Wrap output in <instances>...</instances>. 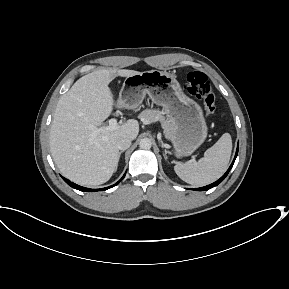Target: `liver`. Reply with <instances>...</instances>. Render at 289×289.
Here are the masks:
<instances>
[{
  "label": "liver",
  "mask_w": 289,
  "mask_h": 289,
  "mask_svg": "<svg viewBox=\"0 0 289 289\" xmlns=\"http://www.w3.org/2000/svg\"><path fill=\"white\" fill-rule=\"evenodd\" d=\"M140 72L127 69H100L78 79L61 96L50 129V149L60 172L71 181L88 186L107 182L117 169L116 142L126 136L134 140L139 123L128 120L114 130L94 135L113 111L114 97L108 87L117 76Z\"/></svg>",
  "instance_id": "6515ba94"
}]
</instances>
